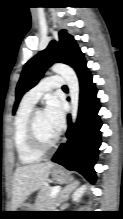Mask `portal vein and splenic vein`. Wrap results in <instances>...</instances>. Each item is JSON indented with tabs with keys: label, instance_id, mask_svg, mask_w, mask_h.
Segmentation results:
<instances>
[{
	"label": "portal vein and splenic vein",
	"instance_id": "18ae733b",
	"mask_svg": "<svg viewBox=\"0 0 123 219\" xmlns=\"http://www.w3.org/2000/svg\"><path fill=\"white\" fill-rule=\"evenodd\" d=\"M60 190H61V187H60V186H54V187L52 188V190H51L50 197H51L52 199H54V198L57 196V194L60 192Z\"/></svg>",
	"mask_w": 123,
	"mask_h": 219
}]
</instances>
